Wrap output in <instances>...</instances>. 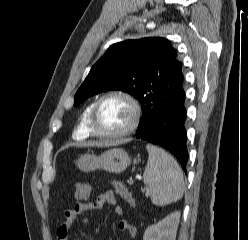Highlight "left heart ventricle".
<instances>
[{"label": "left heart ventricle", "mask_w": 248, "mask_h": 240, "mask_svg": "<svg viewBox=\"0 0 248 240\" xmlns=\"http://www.w3.org/2000/svg\"><path fill=\"white\" fill-rule=\"evenodd\" d=\"M132 118L129 105L122 99L110 98L99 106L96 125L103 133H114L126 128Z\"/></svg>", "instance_id": "b2bd125f"}]
</instances>
